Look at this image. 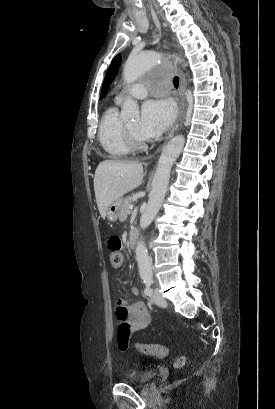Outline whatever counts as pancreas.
<instances>
[{
  "label": "pancreas",
  "mask_w": 275,
  "mask_h": 409,
  "mask_svg": "<svg viewBox=\"0 0 275 409\" xmlns=\"http://www.w3.org/2000/svg\"><path fill=\"white\" fill-rule=\"evenodd\" d=\"M131 202H133L132 196H126L125 200H123L122 207H121L120 213H119L120 223H123V221H126L128 211H129V205H131Z\"/></svg>",
  "instance_id": "1"
}]
</instances>
